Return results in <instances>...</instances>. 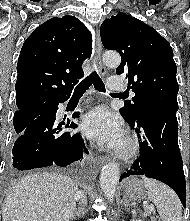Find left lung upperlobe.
<instances>
[{
    "mask_svg": "<svg viewBox=\"0 0 190 221\" xmlns=\"http://www.w3.org/2000/svg\"><path fill=\"white\" fill-rule=\"evenodd\" d=\"M102 44L121 55L116 73L126 74L135 96L119 111L127 122L149 107L178 110L177 67L170 44L144 22L118 13L106 19L100 29Z\"/></svg>",
    "mask_w": 190,
    "mask_h": 221,
    "instance_id": "obj_1",
    "label": "left lung upper lobe"
}]
</instances>
